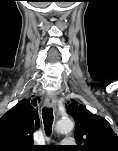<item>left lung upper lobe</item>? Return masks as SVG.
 <instances>
[{
    "label": "left lung upper lobe",
    "instance_id": "5c2ea615",
    "mask_svg": "<svg viewBox=\"0 0 118 151\" xmlns=\"http://www.w3.org/2000/svg\"><path fill=\"white\" fill-rule=\"evenodd\" d=\"M68 112L76 122L75 138L79 151H118V137L109 122L73 100Z\"/></svg>",
    "mask_w": 118,
    "mask_h": 151
}]
</instances>
